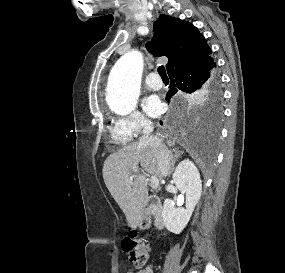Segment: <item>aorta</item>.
I'll return each mask as SVG.
<instances>
[{
    "label": "aorta",
    "instance_id": "aorta-1",
    "mask_svg": "<svg viewBox=\"0 0 285 273\" xmlns=\"http://www.w3.org/2000/svg\"><path fill=\"white\" fill-rule=\"evenodd\" d=\"M143 58L137 51L123 55L113 66L108 77L106 102L121 115L131 113L140 93Z\"/></svg>",
    "mask_w": 285,
    "mask_h": 273
}]
</instances>
